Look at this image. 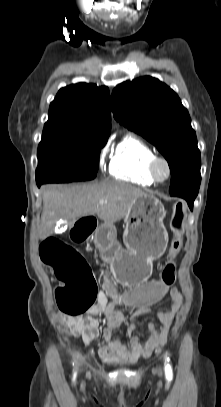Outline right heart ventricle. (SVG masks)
I'll return each mask as SVG.
<instances>
[{
  "label": "right heart ventricle",
  "instance_id": "obj_1",
  "mask_svg": "<svg viewBox=\"0 0 221 407\" xmlns=\"http://www.w3.org/2000/svg\"><path fill=\"white\" fill-rule=\"evenodd\" d=\"M156 156L154 150L141 139L127 135L117 145L110 161L109 171L113 178L140 186L155 183L148 166Z\"/></svg>",
  "mask_w": 221,
  "mask_h": 407
}]
</instances>
